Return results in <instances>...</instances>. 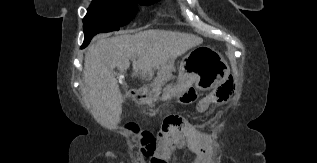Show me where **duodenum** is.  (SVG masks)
<instances>
[{
  "mask_svg": "<svg viewBox=\"0 0 317 163\" xmlns=\"http://www.w3.org/2000/svg\"><path fill=\"white\" fill-rule=\"evenodd\" d=\"M128 96L131 99H135L138 96V91L136 89H132L128 92Z\"/></svg>",
  "mask_w": 317,
  "mask_h": 163,
  "instance_id": "1",
  "label": "duodenum"
}]
</instances>
